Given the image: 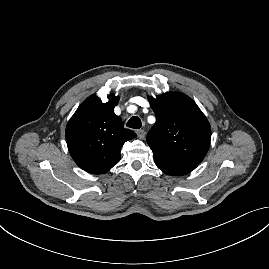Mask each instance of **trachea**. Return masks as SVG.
Here are the masks:
<instances>
[{
    "label": "trachea",
    "instance_id": "1",
    "mask_svg": "<svg viewBox=\"0 0 269 269\" xmlns=\"http://www.w3.org/2000/svg\"><path fill=\"white\" fill-rule=\"evenodd\" d=\"M126 126L132 129H140L142 126V122L139 117L133 116L129 119Z\"/></svg>",
    "mask_w": 269,
    "mask_h": 269
}]
</instances>
